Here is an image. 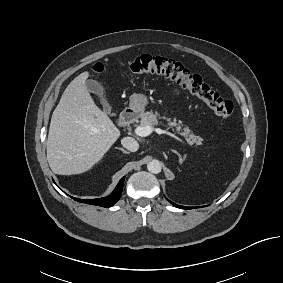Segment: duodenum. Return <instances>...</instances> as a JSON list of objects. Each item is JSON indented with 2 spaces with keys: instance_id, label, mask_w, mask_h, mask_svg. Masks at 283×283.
Instances as JSON below:
<instances>
[{
  "instance_id": "1",
  "label": "duodenum",
  "mask_w": 283,
  "mask_h": 283,
  "mask_svg": "<svg viewBox=\"0 0 283 283\" xmlns=\"http://www.w3.org/2000/svg\"><path fill=\"white\" fill-rule=\"evenodd\" d=\"M136 118H137L136 109H133V108L126 109L120 114L117 120V124L123 127V126L129 125L130 123H132Z\"/></svg>"
}]
</instances>
